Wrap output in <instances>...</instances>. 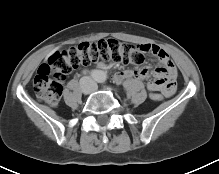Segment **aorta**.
Wrapping results in <instances>:
<instances>
[{
	"mask_svg": "<svg viewBox=\"0 0 219 174\" xmlns=\"http://www.w3.org/2000/svg\"><path fill=\"white\" fill-rule=\"evenodd\" d=\"M106 78H107L106 72L99 70L96 75V80L101 83V82H104Z\"/></svg>",
	"mask_w": 219,
	"mask_h": 174,
	"instance_id": "obj_1",
	"label": "aorta"
}]
</instances>
